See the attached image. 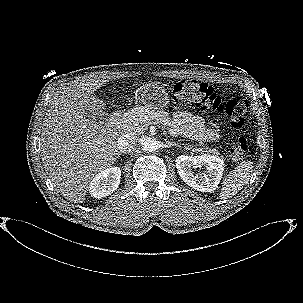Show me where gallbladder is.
Here are the masks:
<instances>
[{
    "label": "gallbladder",
    "mask_w": 303,
    "mask_h": 303,
    "mask_svg": "<svg viewBox=\"0 0 303 303\" xmlns=\"http://www.w3.org/2000/svg\"><path fill=\"white\" fill-rule=\"evenodd\" d=\"M88 114L91 116L92 120H94L96 123H98L100 125L104 124V122L106 120V115L105 114L98 113L96 115V114H93V113H90V112H88Z\"/></svg>",
    "instance_id": "bac80fb5"
}]
</instances>
